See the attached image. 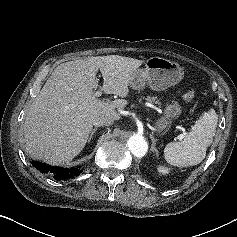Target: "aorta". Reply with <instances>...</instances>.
Returning <instances> with one entry per match:
<instances>
[{
	"mask_svg": "<svg viewBox=\"0 0 237 237\" xmlns=\"http://www.w3.org/2000/svg\"><path fill=\"white\" fill-rule=\"evenodd\" d=\"M127 145L131 153L136 157H142L146 154L148 149V144L143 136L132 135L128 141Z\"/></svg>",
	"mask_w": 237,
	"mask_h": 237,
	"instance_id": "762f6f07",
	"label": "aorta"
}]
</instances>
